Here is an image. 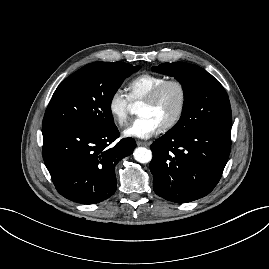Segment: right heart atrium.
Masks as SVG:
<instances>
[{
    "label": "right heart atrium",
    "mask_w": 269,
    "mask_h": 269,
    "mask_svg": "<svg viewBox=\"0 0 269 269\" xmlns=\"http://www.w3.org/2000/svg\"><path fill=\"white\" fill-rule=\"evenodd\" d=\"M130 100L120 89L112 92L108 99V111L114 121L120 127L127 124L129 119Z\"/></svg>",
    "instance_id": "d8ad5b80"
}]
</instances>
